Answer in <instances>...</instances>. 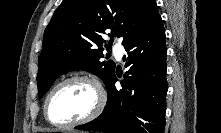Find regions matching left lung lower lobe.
Returning a JSON list of instances; mask_svg holds the SVG:
<instances>
[{
    "label": "left lung lower lobe",
    "instance_id": "obj_1",
    "mask_svg": "<svg viewBox=\"0 0 221 133\" xmlns=\"http://www.w3.org/2000/svg\"><path fill=\"white\" fill-rule=\"evenodd\" d=\"M127 74L117 90L115 72L106 84L108 101L95 120L75 127L105 133H163L166 111L165 32L161 17L124 44Z\"/></svg>",
    "mask_w": 221,
    "mask_h": 133
}]
</instances>
